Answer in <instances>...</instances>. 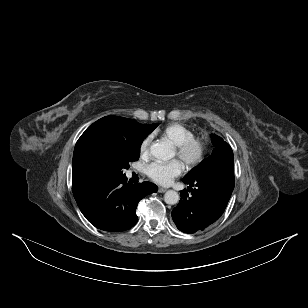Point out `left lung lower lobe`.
<instances>
[{
	"instance_id": "0a47b994",
	"label": "left lung lower lobe",
	"mask_w": 308,
	"mask_h": 308,
	"mask_svg": "<svg viewBox=\"0 0 308 308\" xmlns=\"http://www.w3.org/2000/svg\"><path fill=\"white\" fill-rule=\"evenodd\" d=\"M183 181L192 192L190 196L186 190L181 192L172 218L182 232L195 233L214 223L224 212L234 189V165L219 164Z\"/></svg>"
}]
</instances>
